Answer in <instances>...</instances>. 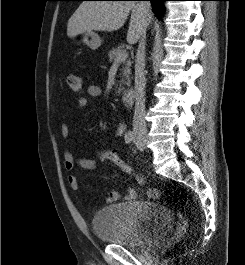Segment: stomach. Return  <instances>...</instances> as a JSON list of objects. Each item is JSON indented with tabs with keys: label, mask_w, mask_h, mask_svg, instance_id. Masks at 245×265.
Masks as SVG:
<instances>
[{
	"label": "stomach",
	"mask_w": 245,
	"mask_h": 265,
	"mask_svg": "<svg viewBox=\"0 0 245 265\" xmlns=\"http://www.w3.org/2000/svg\"><path fill=\"white\" fill-rule=\"evenodd\" d=\"M73 42L75 43H83L87 45L90 49L96 50L101 46L102 40L98 36V34L91 32L80 33L74 37H72Z\"/></svg>",
	"instance_id": "0dacf381"
}]
</instances>
